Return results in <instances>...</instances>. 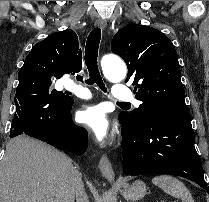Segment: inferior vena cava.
Listing matches in <instances>:
<instances>
[{"label":"inferior vena cava","instance_id":"602c4592","mask_svg":"<svg viewBox=\"0 0 209 202\" xmlns=\"http://www.w3.org/2000/svg\"><path fill=\"white\" fill-rule=\"evenodd\" d=\"M75 195H76V202H89L80 173H78V177L76 180Z\"/></svg>","mask_w":209,"mask_h":202}]
</instances>
